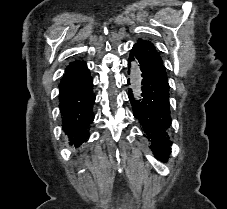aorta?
<instances>
[{
    "mask_svg": "<svg viewBox=\"0 0 227 209\" xmlns=\"http://www.w3.org/2000/svg\"><path fill=\"white\" fill-rule=\"evenodd\" d=\"M141 69L137 63L132 64L130 67V83H131V89L133 90L134 95L140 99L141 97V87H142V76H141Z\"/></svg>",
    "mask_w": 227,
    "mask_h": 209,
    "instance_id": "1",
    "label": "aorta"
}]
</instances>
